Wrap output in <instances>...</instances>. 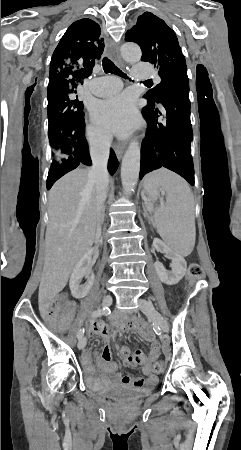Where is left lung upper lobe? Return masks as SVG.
Masks as SVG:
<instances>
[{
	"label": "left lung upper lobe",
	"mask_w": 241,
	"mask_h": 450,
	"mask_svg": "<svg viewBox=\"0 0 241 450\" xmlns=\"http://www.w3.org/2000/svg\"><path fill=\"white\" fill-rule=\"evenodd\" d=\"M126 40L141 47V61L158 65L161 83L144 95L148 104L160 102L171 89H189L185 57L174 31L162 19L143 13L126 33Z\"/></svg>",
	"instance_id": "5c2ea615"
}]
</instances>
